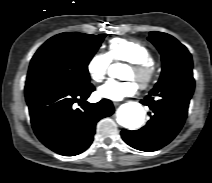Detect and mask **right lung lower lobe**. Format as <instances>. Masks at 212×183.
<instances>
[{
  "mask_svg": "<svg viewBox=\"0 0 212 183\" xmlns=\"http://www.w3.org/2000/svg\"><path fill=\"white\" fill-rule=\"evenodd\" d=\"M94 90L91 83L26 81V102L38 139L61 155L85 151L93 141L96 123L114 113L108 99L95 104L86 101ZM75 103L81 107L76 108Z\"/></svg>",
  "mask_w": 212,
  "mask_h": 183,
  "instance_id": "1",
  "label": "right lung lower lobe"
}]
</instances>
